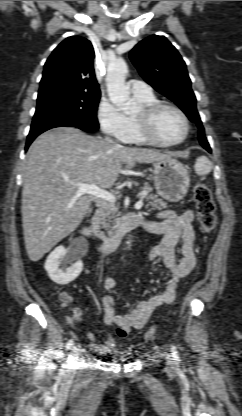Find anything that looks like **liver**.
<instances>
[{"label": "liver", "instance_id": "liver-1", "mask_svg": "<svg viewBox=\"0 0 242 416\" xmlns=\"http://www.w3.org/2000/svg\"><path fill=\"white\" fill-rule=\"evenodd\" d=\"M159 151L124 147L74 127L38 136L27 152L22 189V222L27 254L39 261L81 223L91 196L72 183L110 189L136 163L169 159Z\"/></svg>", "mask_w": 242, "mask_h": 416}]
</instances>
